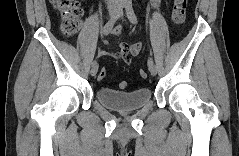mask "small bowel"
I'll use <instances>...</instances> for the list:
<instances>
[{"label":"small bowel","mask_w":239,"mask_h":156,"mask_svg":"<svg viewBox=\"0 0 239 156\" xmlns=\"http://www.w3.org/2000/svg\"><path fill=\"white\" fill-rule=\"evenodd\" d=\"M151 6L154 9L159 8L160 6V1L159 0H153L151 2ZM121 32V29L119 27H116L114 30L115 35H119ZM143 43L141 41H138L132 45H129L125 42H121L118 44L119 47V51H105V50H101L99 51V55L100 56H105V55H109L112 56L114 58L120 59L122 60L124 63L126 64H131L132 60L134 57L138 56L141 49H142Z\"/></svg>","instance_id":"c3829d8e"}]
</instances>
